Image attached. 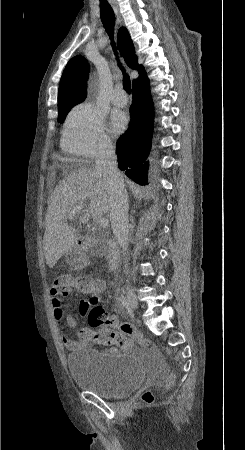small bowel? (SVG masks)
I'll use <instances>...</instances> for the list:
<instances>
[{"mask_svg":"<svg viewBox=\"0 0 245 450\" xmlns=\"http://www.w3.org/2000/svg\"><path fill=\"white\" fill-rule=\"evenodd\" d=\"M91 284L94 286L93 291L90 292L91 297L89 299L84 300L81 303V315L82 316L86 314V307H88L90 305L91 300L92 299H95V300L100 299L101 292L107 286L106 282L96 281V280H91ZM71 290H77V289L67 288L66 290H63L61 292H58L55 289L50 290V297H51L50 305H51V308L53 311L54 318L59 326H63L65 324L67 326L74 325L73 317L70 314L65 313V311L62 307L61 301L57 297L58 293H60L62 296H67V295H69ZM114 328L118 329L117 326H115ZM60 335H61V339H62L64 345L70 351H78V350L87 349V348L91 347L94 343H97L94 340H85L81 337L78 340L74 339L70 335L69 331L66 328L61 330ZM107 351H109L110 353H118L120 350L115 347H109L107 349Z\"/></svg>","mask_w":245,"mask_h":450,"instance_id":"small-bowel-1","label":"small bowel"}]
</instances>
